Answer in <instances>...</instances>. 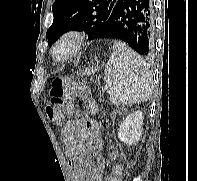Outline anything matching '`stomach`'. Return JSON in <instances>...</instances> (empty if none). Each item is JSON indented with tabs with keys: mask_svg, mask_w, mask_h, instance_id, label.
I'll return each instance as SVG.
<instances>
[{
	"mask_svg": "<svg viewBox=\"0 0 197 181\" xmlns=\"http://www.w3.org/2000/svg\"><path fill=\"white\" fill-rule=\"evenodd\" d=\"M98 70V67H92V68H90V69H88L87 71H86V74H88V75H91L92 73H94L95 71H97Z\"/></svg>",
	"mask_w": 197,
	"mask_h": 181,
	"instance_id": "obj_1",
	"label": "stomach"
}]
</instances>
